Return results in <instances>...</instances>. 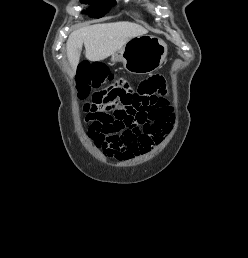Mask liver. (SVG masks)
Segmentation results:
<instances>
[{
	"label": "liver",
	"mask_w": 248,
	"mask_h": 258,
	"mask_svg": "<svg viewBox=\"0 0 248 258\" xmlns=\"http://www.w3.org/2000/svg\"><path fill=\"white\" fill-rule=\"evenodd\" d=\"M147 33L141 25L127 21L86 26L69 35L67 57L75 71L83 44L86 58L98 62L119 51L131 38Z\"/></svg>",
	"instance_id": "liver-1"
}]
</instances>
